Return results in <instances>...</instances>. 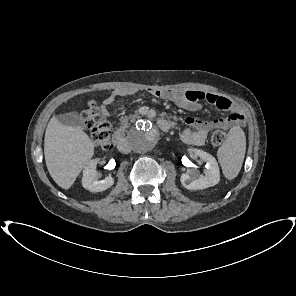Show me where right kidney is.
<instances>
[{
  "label": "right kidney",
  "mask_w": 296,
  "mask_h": 296,
  "mask_svg": "<svg viewBox=\"0 0 296 296\" xmlns=\"http://www.w3.org/2000/svg\"><path fill=\"white\" fill-rule=\"evenodd\" d=\"M98 162V158L89 161L83 170L82 185L90 192H102L114 184V179L111 176L106 177L104 180H98L96 171Z\"/></svg>",
  "instance_id": "ca27d5eb"
}]
</instances>
